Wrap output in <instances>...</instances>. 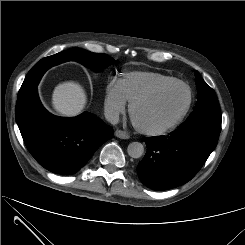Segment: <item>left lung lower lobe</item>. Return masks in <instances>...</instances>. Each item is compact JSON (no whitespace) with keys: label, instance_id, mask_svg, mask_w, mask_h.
<instances>
[{"label":"left lung lower lobe","instance_id":"1","mask_svg":"<svg viewBox=\"0 0 245 245\" xmlns=\"http://www.w3.org/2000/svg\"><path fill=\"white\" fill-rule=\"evenodd\" d=\"M220 131L192 125L180 127L168 136L146 138L147 152L137 166L141 182L159 191L190 181L215 149Z\"/></svg>","mask_w":245,"mask_h":245}]
</instances>
